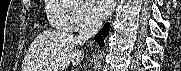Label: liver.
<instances>
[{
    "label": "liver",
    "instance_id": "obj_1",
    "mask_svg": "<svg viewBox=\"0 0 181 71\" xmlns=\"http://www.w3.org/2000/svg\"><path fill=\"white\" fill-rule=\"evenodd\" d=\"M77 38L66 32H43L32 42L22 71H63L69 64L79 65L84 53L75 46Z\"/></svg>",
    "mask_w": 181,
    "mask_h": 71
}]
</instances>
